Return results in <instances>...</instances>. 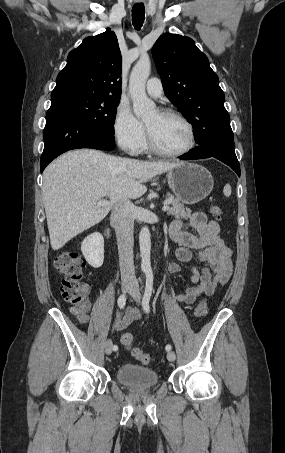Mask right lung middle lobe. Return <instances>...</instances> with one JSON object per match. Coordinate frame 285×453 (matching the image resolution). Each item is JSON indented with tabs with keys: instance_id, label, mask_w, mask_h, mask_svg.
<instances>
[{
	"instance_id": "obj_1",
	"label": "right lung middle lobe",
	"mask_w": 285,
	"mask_h": 453,
	"mask_svg": "<svg viewBox=\"0 0 285 453\" xmlns=\"http://www.w3.org/2000/svg\"><path fill=\"white\" fill-rule=\"evenodd\" d=\"M119 102L120 98L73 94L51 100V105L69 109L96 133L114 141L113 126Z\"/></svg>"
}]
</instances>
